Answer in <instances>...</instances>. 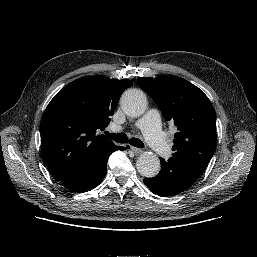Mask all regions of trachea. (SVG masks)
<instances>
[{
    "mask_svg": "<svg viewBox=\"0 0 257 257\" xmlns=\"http://www.w3.org/2000/svg\"><path fill=\"white\" fill-rule=\"evenodd\" d=\"M105 134L110 139H112V140H114L115 142H118V143H127V141H128V137L125 133L112 134V133H109V132H105ZM129 143L132 146L137 147V148H143L144 147L143 142L138 138H131L129 140Z\"/></svg>",
    "mask_w": 257,
    "mask_h": 257,
    "instance_id": "3493384b",
    "label": "trachea"
}]
</instances>
